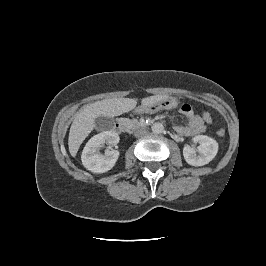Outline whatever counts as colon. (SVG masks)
I'll return each instance as SVG.
<instances>
[{"mask_svg":"<svg viewBox=\"0 0 266 266\" xmlns=\"http://www.w3.org/2000/svg\"><path fill=\"white\" fill-rule=\"evenodd\" d=\"M202 119H203V121L205 123H212V121H213V117H212V115L209 112H203L202 113ZM217 135L220 136V137L224 136L225 135V130L224 129H219L217 131Z\"/></svg>","mask_w":266,"mask_h":266,"instance_id":"colon-1","label":"colon"}]
</instances>
